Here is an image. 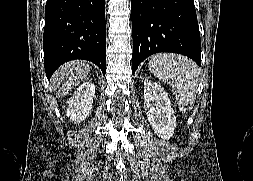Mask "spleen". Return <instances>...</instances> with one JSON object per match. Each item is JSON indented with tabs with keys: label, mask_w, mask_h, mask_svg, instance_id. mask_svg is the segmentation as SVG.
<instances>
[{
	"label": "spleen",
	"mask_w": 253,
	"mask_h": 181,
	"mask_svg": "<svg viewBox=\"0 0 253 181\" xmlns=\"http://www.w3.org/2000/svg\"><path fill=\"white\" fill-rule=\"evenodd\" d=\"M149 69L172 87L182 112L192 107L199 76V68L192 60L180 55L157 54L150 59Z\"/></svg>",
	"instance_id": "1"
}]
</instances>
